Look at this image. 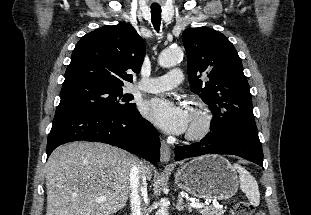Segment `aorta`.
Here are the masks:
<instances>
[{"mask_svg":"<svg viewBox=\"0 0 311 215\" xmlns=\"http://www.w3.org/2000/svg\"><path fill=\"white\" fill-rule=\"evenodd\" d=\"M183 57V51L180 47L167 48L161 52L158 58L159 65L162 67H173ZM160 208L156 212V215H168V205L164 199L160 202Z\"/></svg>","mask_w":311,"mask_h":215,"instance_id":"1","label":"aorta"}]
</instances>
